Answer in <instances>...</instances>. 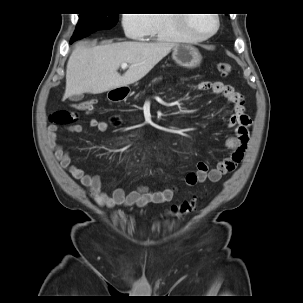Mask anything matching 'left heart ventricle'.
Segmentation results:
<instances>
[{"label":"left heart ventricle","mask_w":303,"mask_h":303,"mask_svg":"<svg viewBox=\"0 0 303 303\" xmlns=\"http://www.w3.org/2000/svg\"><path fill=\"white\" fill-rule=\"evenodd\" d=\"M189 27L196 34H206L215 27V20L210 14H191Z\"/></svg>","instance_id":"left-heart-ventricle-1"}]
</instances>
